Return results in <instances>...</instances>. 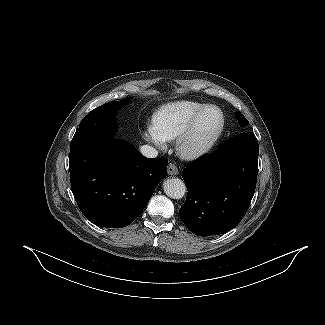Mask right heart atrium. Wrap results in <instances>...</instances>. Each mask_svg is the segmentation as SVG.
<instances>
[{
  "label": "right heart atrium",
  "instance_id": "obj_1",
  "mask_svg": "<svg viewBox=\"0 0 325 325\" xmlns=\"http://www.w3.org/2000/svg\"><path fill=\"white\" fill-rule=\"evenodd\" d=\"M143 137L147 140V141H149V142H151V143H153V144H155V145H157V146H159V147H163L164 146V143H165V140L164 139H162L154 130H153V128L152 127H150L147 131H145L144 132V134H143Z\"/></svg>",
  "mask_w": 325,
  "mask_h": 325
}]
</instances>
